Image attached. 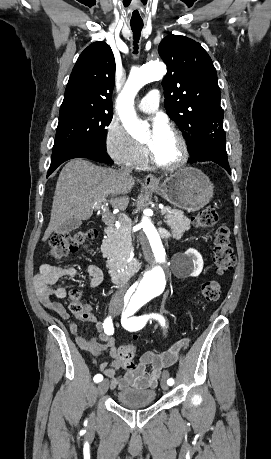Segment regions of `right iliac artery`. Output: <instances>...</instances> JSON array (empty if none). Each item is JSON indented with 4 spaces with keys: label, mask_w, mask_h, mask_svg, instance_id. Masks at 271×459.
I'll list each match as a JSON object with an SVG mask.
<instances>
[{
    "label": "right iliac artery",
    "mask_w": 271,
    "mask_h": 459,
    "mask_svg": "<svg viewBox=\"0 0 271 459\" xmlns=\"http://www.w3.org/2000/svg\"><path fill=\"white\" fill-rule=\"evenodd\" d=\"M103 328H104V332L107 335H113L114 327H113V323H112L111 317H107L104 320ZM102 380H103V376L101 374H97V375L94 376V382L98 383V382H101Z\"/></svg>",
    "instance_id": "right-iliac-artery-1"
}]
</instances>
